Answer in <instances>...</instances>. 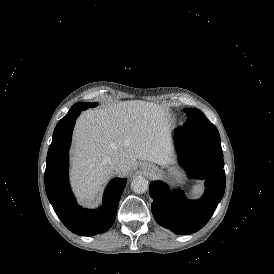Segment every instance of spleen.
<instances>
[{
    "label": "spleen",
    "instance_id": "3e777b00",
    "mask_svg": "<svg viewBox=\"0 0 274 274\" xmlns=\"http://www.w3.org/2000/svg\"><path fill=\"white\" fill-rule=\"evenodd\" d=\"M203 192V186L201 183L199 184H196L193 186L192 188V195L196 198L198 197L199 195H201Z\"/></svg>",
    "mask_w": 274,
    "mask_h": 274
}]
</instances>
